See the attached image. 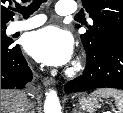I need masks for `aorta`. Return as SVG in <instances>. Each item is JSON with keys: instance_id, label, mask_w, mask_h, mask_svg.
Here are the masks:
<instances>
[{"instance_id": "1", "label": "aorta", "mask_w": 123, "mask_h": 113, "mask_svg": "<svg viewBox=\"0 0 123 113\" xmlns=\"http://www.w3.org/2000/svg\"><path fill=\"white\" fill-rule=\"evenodd\" d=\"M44 113H61L59 98L55 90H49V92L46 93Z\"/></svg>"}]
</instances>
